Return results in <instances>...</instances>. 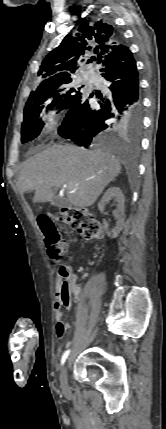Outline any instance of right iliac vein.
<instances>
[{
  "label": "right iliac vein",
  "instance_id": "obj_1",
  "mask_svg": "<svg viewBox=\"0 0 166 429\" xmlns=\"http://www.w3.org/2000/svg\"><path fill=\"white\" fill-rule=\"evenodd\" d=\"M60 380H61L62 388L66 390L68 387V364L67 363L62 369Z\"/></svg>",
  "mask_w": 166,
  "mask_h": 429
}]
</instances>
